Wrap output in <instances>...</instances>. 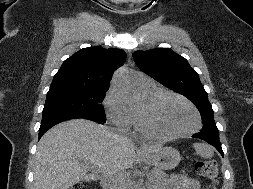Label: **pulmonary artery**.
I'll list each match as a JSON object with an SVG mask.
<instances>
[{
  "label": "pulmonary artery",
  "instance_id": "1",
  "mask_svg": "<svg viewBox=\"0 0 253 189\" xmlns=\"http://www.w3.org/2000/svg\"><path fill=\"white\" fill-rule=\"evenodd\" d=\"M154 83L150 80V79H147V78H142L140 81H139V85H145V86H150V85H153Z\"/></svg>",
  "mask_w": 253,
  "mask_h": 189
}]
</instances>
